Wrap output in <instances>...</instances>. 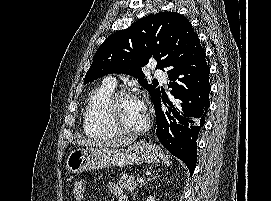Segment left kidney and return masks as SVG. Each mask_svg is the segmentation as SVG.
<instances>
[{"label": "left kidney", "mask_w": 271, "mask_h": 201, "mask_svg": "<svg viewBox=\"0 0 271 201\" xmlns=\"http://www.w3.org/2000/svg\"><path fill=\"white\" fill-rule=\"evenodd\" d=\"M147 201H155V199H154V197L149 196L148 199H147Z\"/></svg>", "instance_id": "1"}]
</instances>
